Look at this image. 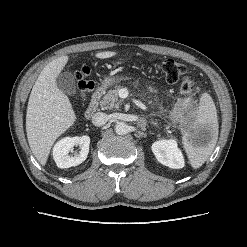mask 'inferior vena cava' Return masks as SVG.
Wrapping results in <instances>:
<instances>
[{"label": "inferior vena cava", "instance_id": "obj_1", "mask_svg": "<svg viewBox=\"0 0 247 247\" xmlns=\"http://www.w3.org/2000/svg\"><path fill=\"white\" fill-rule=\"evenodd\" d=\"M109 120V117L106 113L103 112H98L96 114H94V116L92 117V123L95 126H103L105 125Z\"/></svg>", "mask_w": 247, "mask_h": 247}]
</instances>
